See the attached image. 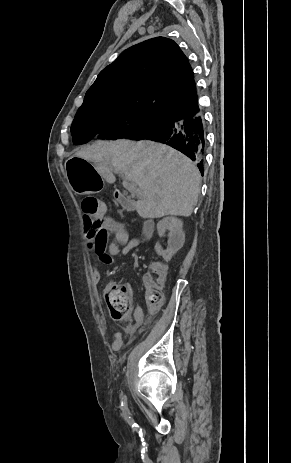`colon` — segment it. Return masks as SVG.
Listing matches in <instances>:
<instances>
[{
	"instance_id": "colon-1",
	"label": "colon",
	"mask_w": 291,
	"mask_h": 463,
	"mask_svg": "<svg viewBox=\"0 0 291 463\" xmlns=\"http://www.w3.org/2000/svg\"><path fill=\"white\" fill-rule=\"evenodd\" d=\"M82 212L85 216L84 229H97L104 216L105 204L95 197H86L82 201ZM150 281L147 285L146 302L151 313H154L164 301L163 286L166 279V268L154 264L151 266ZM105 300L113 319L122 321L128 318L131 308V295L126 286L112 283L105 291Z\"/></svg>"
}]
</instances>
